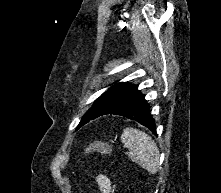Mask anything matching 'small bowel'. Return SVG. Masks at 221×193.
<instances>
[{
	"mask_svg": "<svg viewBox=\"0 0 221 193\" xmlns=\"http://www.w3.org/2000/svg\"><path fill=\"white\" fill-rule=\"evenodd\" d=\"M95 182L98 185L101 193H111L112 186L111 181L105 174H98L95 177Z\"/></svg>",
	"mask_w": 221,
	"mask_h": 193,
	"instance_id": "c3829d8e",
	"label": "small bowel"
}]
</instances>
